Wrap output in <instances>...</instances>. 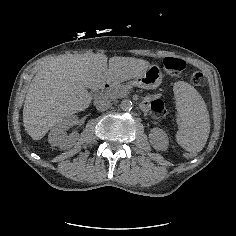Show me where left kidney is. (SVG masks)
Masks as SVG:
<instances>
[{
	"instance_id": "5707ae66",
	"label": "left kidney",
	"mask_w": 236,
	"mask_h": 236,
	"mask_svg": "<svg viewBox=\"0 0 236 236\" xmlns=\"http://www.w3.org/2000/svg\"><path fill=\"white\" fill-rule=\"evenodd\" d=\"M149 142L155 150L166 151L169 147V139L165 131L161 128H153L149 135Z\"/></svg>"
}]
</instances>
